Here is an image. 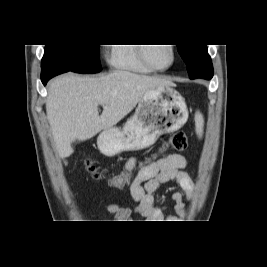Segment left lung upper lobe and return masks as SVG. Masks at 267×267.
I'll list each match as a JSON object with an SVG mask.
<instances>
[{"mask_svg":"<svg viewBox=\"0 0 267 267\" xmlns=\"http://www.w3.org/2000/svg\"><path fill=\"white\" fill-rule=\"evenodd\" d=\"M178 52L187 65L190 79L199 78L205 73H213L211 58L206 45H177Z\"/></svg>","mask_w":267,"mask_h":267,"instance_id":"left-lung-upper-lobe-1","label":"left lung upper lobe"}]
</instances>
